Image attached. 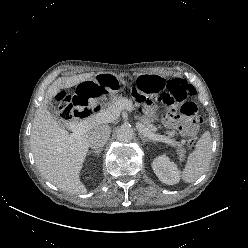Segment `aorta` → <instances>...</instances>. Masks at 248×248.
Masks as SVG:
<instances>
[{"label": "aorta", "mask_w": 248, "mask_h": 248, "mask_svg": "<svg viewBox=\"0 0 248 248\" xmlns=\"http://www.w3.org/2000/svg\"><path fill=\"white\" fill-rule=\"evenodd\" d=\"M116 137L118 141L128 143L133 139L134 131L131 127L123 125L117 130Z\"/></svg>", "instance_id": "762f6f07"}]
</instances>
